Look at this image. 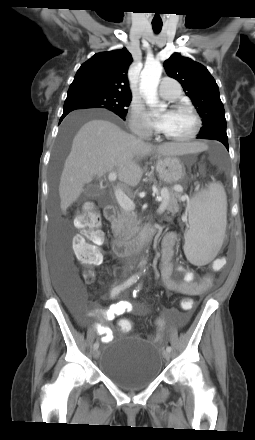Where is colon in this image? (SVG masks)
<instances>
[{
    "label": "colon",
    "mask_w": 255,
    "mask_h": 440,
    "mask_svg": "<svg viewBox=\"0 0 255 440\" xmlns=\"http://www.w3.org/2000/svg\"><path fill=\"white\" fill-rule=\"evenodd\" d=\"M74 225L81 232L73 240L75 256L88 267L101 264L102 251L100 247L105 242V236L100 229L101 218L92 204H87L84 211L76 216ZM92 279L91 273L85 277L86 281ZM179 304L182 311H191L194 308L192 298H180ZM119 328L123 332H129L131 322L128 319H122L119 322Z\"/></svg>",
    "instance_id": "1"
}]
</instances>
